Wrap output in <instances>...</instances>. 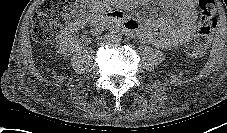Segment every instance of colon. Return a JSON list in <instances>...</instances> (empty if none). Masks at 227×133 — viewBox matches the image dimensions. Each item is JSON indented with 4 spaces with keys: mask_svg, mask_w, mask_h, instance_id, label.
<instances>
[{
    "mask_svg": "<svg viewBox=\"0 0 227 133\" xmlns=\"http://www.w3.org/2000/svg\"><path fill=\"white\" fill-rule=\"evenodd\" d=\"M76 1L42 0L31 20L33 39L43 45L53 42L61 31L62 20L73 12ZM198 7V30L187 44V53L194 58L205 53L217 26L215 0H198Z\"/></svg>",
    "mask_w": 227,
    "mask_h": 133,
    "instance_id": "1",
    "label": "colon"
}]
</instances>
